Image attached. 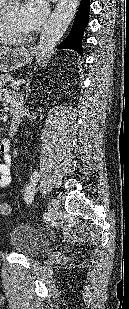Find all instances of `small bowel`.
<instances>
[{"instance_id": "obj_1", "label": "small bowel", "mask_w": 129, "mask_h": 309, "mask_svg": "<svg viewBox=\"0 0 129 309\" xmlns=\"http://www.w3.org/2000/svg\"><path fill=\"white\" fill-rule=\"evenodd\" d=\"M4 148L7 149L8 146L4 145ZM0 174H1V181L3 183H8L10 181V172L9 168L5 164H0Z\"/></svg>"}]
</instances>
